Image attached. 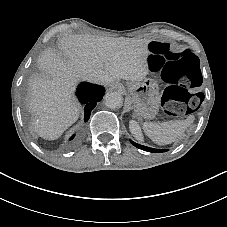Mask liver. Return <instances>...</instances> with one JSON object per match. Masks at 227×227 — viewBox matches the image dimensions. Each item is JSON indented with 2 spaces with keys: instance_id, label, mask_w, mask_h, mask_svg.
Listing matches in <instances>:
<instances>
[{
  "instance_id": "6515ba94",
  "label": "liver",
  "mask_w": 227,
  "mask_h": 227,
  "mask_svg": "<svg viewBox=\"0 0 227 227\" xmlns=\"http://www.w3.org/2000/svg\"><path fill=\"white\" fill-rule=\"evenodd\" d=\"M149 42L84 34L61 40V54L46 51L38 60L44 74L29 80L28 105L38 115L35 128L39 135L55 139L78 118L79 108L70 98L76 78L112 87L120 79L143 81L150 73Z\"/></svg>"
}]
</instances>
